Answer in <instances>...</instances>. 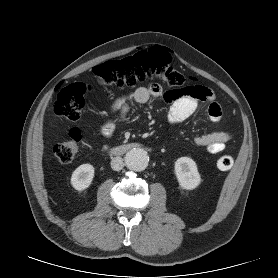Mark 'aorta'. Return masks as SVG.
I'll list each match as a JSON object with an SVG mask.
<instances>
[{
	"label": "aorta",
	"mask_w": 278,
	"mask_h": 278,
	"mask_svg": "<svg viewBox=\"0 0 278 278\" xmlns=\"http://www.w3.org/2000/svg\"><path fill=\"white\" fill-rule=\"evenodd\" d=\"M149 156L143 149L134 148L128 151L125 155V163L130 170L143 171L147 168Z\"/></svg>",
	"instance_id": "1"
}]
</instances>
